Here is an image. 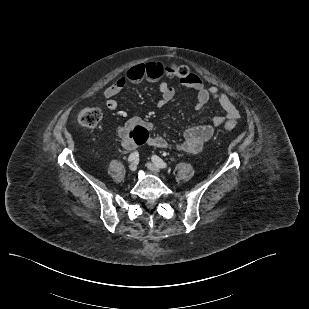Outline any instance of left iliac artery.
Here are the masks:
<instances>
[{"label": "left iliac artery", "instance_id": "44dca946", "mask_svg": "<svg viewBox=\"0 0 309 309\" xmlns=\"http://www.w3.org/2000/svg\"><path fill=\"white\" fill-rule=\"evenodd\" d=\"M152 161L160 168H167V164L166 162H164L160 157H158L157 155H153L152 156Z\"/></svg>", "mask_w": 309, "mask_h": 309}]
</instances>
